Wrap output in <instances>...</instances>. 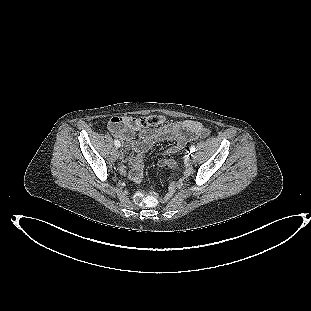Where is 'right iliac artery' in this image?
<instances>
[{"mask_svg": "<svg viewBox=\"0 0 311 311\" xmlns=\"http://www.w3.org/2000/svg\"><path fill=\"white\" fill-rule=\"evenodd\" d=\"M114 144H115L116 147H120V142L118 140H115Z\"/></svg>", "mask_w": 311, "mask_h": 311, "instance_id": "82829eb1", "label": "right iliac artery"}]
</instances>
